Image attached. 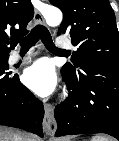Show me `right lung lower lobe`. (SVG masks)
<instances>
[{
    "label": "right lung lower lobe",
    "instance_id": "right-lung-lower-lobe-1",
    "mask_svg": "<svg viewBox=\"0 0 119 141\" xmlns=\"http://www.w3.org/2000/svg\"><path fill=\"white\" fill-rule=\"evenodd\" d=\"M44 108L17 74L0 70V125L22 128L43 137Z\"/></svg>",
    "mask_w": 119,
    "mask_h": 141
}]
</instances>
